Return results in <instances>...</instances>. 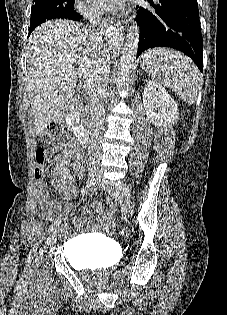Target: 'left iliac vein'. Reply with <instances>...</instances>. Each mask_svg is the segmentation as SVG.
<instances>
[{
	"instance_id": "left-iliac-vein-1",
	"label": "left iliac vein",
	"mask_w": 227,
	"mask_h": 315,
	"mask_svg": "<svg viewBox=\"0 0 227 315\" xmlns=\"http://www.w3.org/2000/svg\"><path fill=\"white\" fill-rule=\"evenodd\" d=\"M98 185L105 187L108 193L121 205L124 214L131 217L134 212V203L130 199L131 191L127 185L119 181H110L99 175Z\"/></svg>"
}]
</instances>
